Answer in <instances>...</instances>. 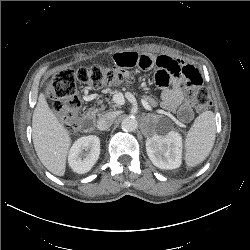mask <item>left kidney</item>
Listing matches in <instances>:
<instances>
[{
    "mask_svg": "<svg viewBox=\"0 0 250 250\" xmlns=\"http://www.w3.org/2000/svg\"><path fill=\"white\" fill-rule=\"evenodd\" d=\"M182 137L172 130L165 135H154L146 141V151L152 163L160 168L172 170L182 163Z\"/></svg>",
    "mask_w": 250,
    "mask_h": 250,
    "instance_id": "1",
    "label": "left kidney"
}]
</instances>
